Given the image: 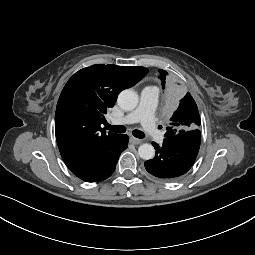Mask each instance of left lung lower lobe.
Here are the masks:
<instances>
[{
  "mask_svg": "<svg viewBox=\"0 0 255 255\" xmlns=\"http://www.w3.org/2000/svg\"><path fill=\"white\" fill-rule=\"evenodd\" d=\"M200 142L199 129L165 138L161 147L152 142L156 154L153 159L145 162L147 172L161 181L178 180L192 167L200 148Z\"/></svg>",
  "mask_w": 255,
  "mask_h": 255,
  "instance_id": "1",
  "label": "left lung lower lobe"
}]
</instances>
